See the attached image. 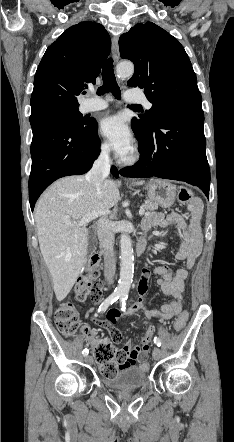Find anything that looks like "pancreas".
<instances>
[{"instance_id":"1","label":"pancreas","mask_w":234,"mask_h":442,"mask_svg":"<svg viewBox=\"0 0 234 442\" xmlns=\"http://www.w3.org/2000/svg\"><path fill=\"white\" fill-rule=\"evenodd\" d=\"M142 208H144V210H146L147 212H151L158 209V204L151 200H147L142 204Z\"/></svg>"}]
</instances>
